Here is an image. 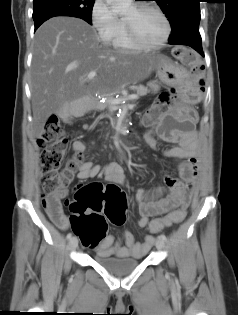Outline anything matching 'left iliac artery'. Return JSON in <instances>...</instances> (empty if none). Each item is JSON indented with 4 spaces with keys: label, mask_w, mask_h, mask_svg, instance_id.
Listing matches in <instances>:
<instances>
[{
    "label": "left iliac artery",
    "mask_w": 238,
    "mask_h": 315,
    "mask_svg": "<svg viewBox=\"0 0 238 315\" xmlns=\"http://www.w3.org/2000/svg\"><path fill=\"white\" fill-rule=\"evenodd\" d=\"M159 238H161V239L164 240V241L167 240V238H166V236H165L164 234H161V235L159 236Z\"/></svg>",
    "instance_id": "obj_1"
}]
</instances>
